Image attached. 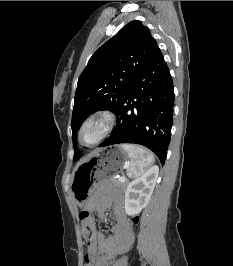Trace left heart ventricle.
Here are the masks:
<instances>
[{"label":"left heart ventricle","instance_id":"obj_1","mask_svg":"<svg viewBox=\"0 0 233 266\" xmlns=\"http://www.w3.org/2000/svg\"><path fill=\"white\" fill-rule=\"evenodd\" d=\"M101 128V123H92L88 125L82 133L83 141L85 143H90L94 141L100 134Z\"/></svg>","mask_w":233,"mask_h":266}]
</instances>
